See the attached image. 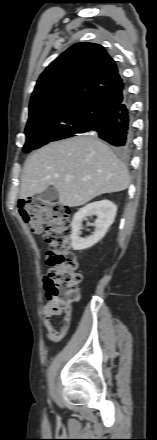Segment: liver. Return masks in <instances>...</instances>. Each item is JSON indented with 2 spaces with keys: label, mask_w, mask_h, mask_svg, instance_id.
Masks as SVG:
<instances>
[{
  "label": "liver",
  "mask_w": 157,
  "mask_h": 440,
  "mask_svg": "<svg viewBox=\"0 0 157 440\" xmlns=\"http://www.w3.org/2000/svg\"><path fill=\"white\" fill-rule=\"evenodd\" d=\"M54 186L59 203L76 207L93 198L127 189L126 166L95 136L49 143L25 161L20 197L26 199Z\"/></svg>",
  "instance_id": "obj_1"
}]
</instances>
